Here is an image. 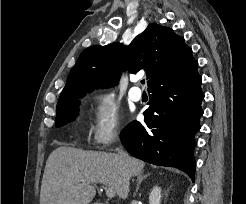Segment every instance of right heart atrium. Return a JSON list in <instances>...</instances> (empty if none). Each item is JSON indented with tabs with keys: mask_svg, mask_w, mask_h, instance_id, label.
<instances>
[{
	"mask_svg": "<svg viewBox=\"0 0 246 204\" xmlns=\"http://www.w3.org/2000/svg\"><path fill=\"white\" fill-rule=\"evenodd\" d=\"M122 130L120 107L111 94H99L93 99L91 139L98 147L115 140Z\"/></svg>",
	"mask_w": 246,
	"mask_h": 204,
	"instance_id": "d8ad5b80",
	"label": "right heart atrium"
}]
</instances>
